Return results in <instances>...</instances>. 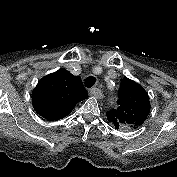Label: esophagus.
I'll return each mask as SVG.
<instances>
[{
	"label": "esophagus",
	"mask_w": 177,
	"mask_h": 177,
	"mask_svg": "<svg viewBox=\"0 0 177 177\" xmlns=\"http://www.w3.org/2000/svg\"><path fill=\"white\" fill-rule=\"evenodd\" d=\"M90 94L98 99H101L103 98V92L102 90H100L99 88H96V87H93L91 90H90Z\"/></svg>",
	"instance_id": "esophagus-1"
}]
</instances>
